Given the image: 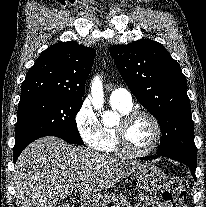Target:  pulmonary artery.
<instances>
[{
  "mask_svg": "<svg viewBox=\"0 0 206 207\" xmlns=\"http://www.w3.org/2000/svg\"><path fill=\"white\" fill-rule=\"evenodd\" d=\"M110 101L125 108H131L133 104L130 92L123 88L115 89L110 95Z\"/></svg>",
  "mask_w": 206,
  "mask_h": 207,
  "instance_id": "1",
  "label": "pulmonary artery"
}]
</instances>
